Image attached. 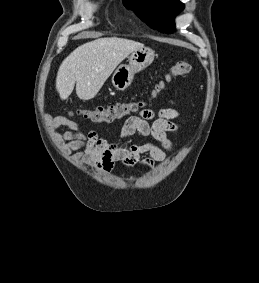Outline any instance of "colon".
I'll return each instance as SVG.
<instances>
[{"label": "colon", "mask_w": 259, "mask_h": 283, "mask_svg": "<svg viewBox=\"0 0 259 283\" xmlns=\"http://www.w3.org/2000/svg\"><path fill=\"white\" fill-rule=\"evenodd\" d=\"M193 71V66L189 62L179 61L174 63L164 78L159 81L151 92V97H155L165 87L173 77L188 75ZM142 101H122L108 106H97L91 109H82L78 113L84 118L97 123H111L125 118L137 112L144 106Z\"/></svg>", "instance_id": "colon-1"}]
</instances>
